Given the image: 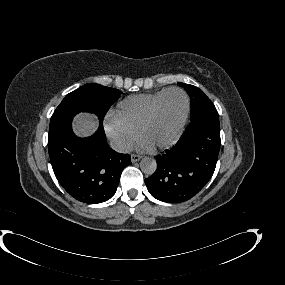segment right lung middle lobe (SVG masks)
<instances>
[{
  "label": "right lung middle lobe",
  "mask_w": 285,
  "mask_h": 285,
  "mask_svg": "<svg viewBox=\"0 0 285 285\" xmlns=\"http://www.w3.org/2000/svg\"><path fill=\"white\" fill-rule=\"evenodd\" d=\"M121 94L122 92L114 88L93 83L86 84L65 96L54 111L50 126L81 111L95 113L102 122L110 106L119 99Z\"/></svg>",
  "instance_id": "obj_1"
}]
</instances>
